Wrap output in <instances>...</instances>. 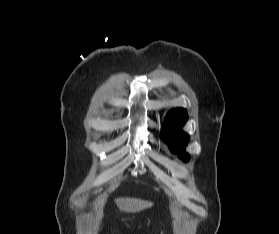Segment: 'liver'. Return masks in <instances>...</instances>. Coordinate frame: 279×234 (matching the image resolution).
Returning a JSON list of instances; mask_svg holds the SVG:
<instances>
[{"label":"liver","instance_id":"obj_1","mask_svg":"<svg viewBox=\"0 0 279 234\" xmlns=\"http://www.w3.org/2000/svg\"><path fill=\"white\" fill-rule=\"evenodd\" d=\"M115 202L121 211L127 213H137L153 206L152 202L136 198H118Z\"/></svg>","mask_w":279,"mask_h":234}]
</instances>
